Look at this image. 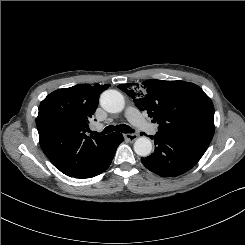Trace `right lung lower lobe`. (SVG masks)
Returning a JSON list of instances; mask_svg holds the SVG:
<instances>
[{"mask_svg":"<svg viewBox=\"0 0 245 245\" xmlns=\"http://www.w3.org/2000/svg\"><path fill=\"white\" fill-rule=\"evenodd\" d=\"M123 140V135L118 132L110 134L103 150L97 158V161L87 171L73 177L85 179L97 176L104 172L111 164L116 149Z\"/></svg>","mask_w":245,"mask_h":245,"instance_id":"98d812e1","label":"right lung lower lobe"}]
</instances>
